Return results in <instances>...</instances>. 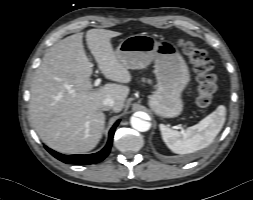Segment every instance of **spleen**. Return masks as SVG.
<instances>
[{
	"label": "spleen",
	"instance_id": "spleen-1",
	"mask_svg": "<svg viewBox=\"0 0 253 200\" xmlns=\"http://www.w3.org/2000/svg\"><path fill=\"white\" fill-rule=\"evenodd\" d=\"M226 116V107L220 105L199 123L185 131L173 130L160 124L162 139L167 147L177 154H189L209 146L221 131Z\"/></svg>",
	"mask_w": 253,
	"mask_h": 200
}]
</instances>
